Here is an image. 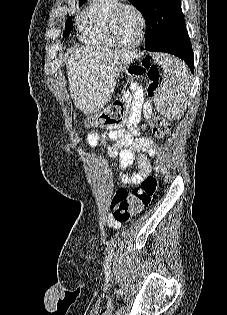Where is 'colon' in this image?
I'll list each match as a JSON object with an SVG mask.
<instances>
[{
  "label": "colon",
  "instance_id": "5ec220e1",
  "mask_svg": "<svg viewBox=\"0 0 227 315\" xmlns=\"http://www.w3.org/2000/svg\"><path fill=\"white\" fill-rule=\"evenodd\" d=\"M130 78H140L146 76L148 79L147 95L153 98L160 81L159 68L148 60H142L133 63L128 69ZM125 104L122 100H117L110 107L104 111L90 116L86 119L85 123L89 127H109L120 124L125 117ZM144 118L146 123L151 127L155 136L164 138L170 135V123L160 117L151 106L144 108ZM158 177L150 176L146 178L141 184L135 187L131 192L123 188L116 190L111 210L114 217L121 223H126L130 219L139 214L146 208L158 189Z\"/></svg>",
  "mask_w": 227,
  "mask_h": 315
}]
</instances>
